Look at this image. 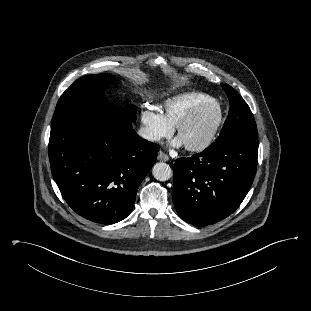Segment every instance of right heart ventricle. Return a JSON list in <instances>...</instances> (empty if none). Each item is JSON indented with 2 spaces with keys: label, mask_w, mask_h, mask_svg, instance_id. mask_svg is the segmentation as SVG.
<instances>
[{
  "label": "right heart ventricle",
  "mask_w": 311,
  "mask_h": 311,
  "mask_svg": "<svg viewBox=\"0 0 311 311\" xmlns=\"http://www.w3.org/2000/svg\"><path fill=\"white\" fill-rule=\"evenodd\" d=\"M212 99L211 96L202 92H185L177 94L164 101L161 114L163 118L174 127L195 107Z\"/></svg>",
  "instance_id": "obj_1"
}]
</instances>
